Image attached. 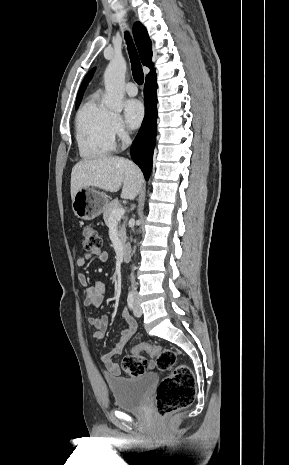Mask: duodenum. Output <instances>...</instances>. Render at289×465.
Wrapping results in <instances>:
<instances>
[{"label":"duodenum","mask_w":289,"mask_h":465,"mask_svg":"<svg viewBox=\"0 0 289 465\" xmlns=\"http://www.w3.org/2000/svg\"><path fill=\"white\" fill-rule=\"evenodd\" d=\"M130 253H131V250H130V247L129 246H124L121 250V258L123 261H128L130 259Z\"/></svg>","instance_id":"obj_1"}]
</instances>
